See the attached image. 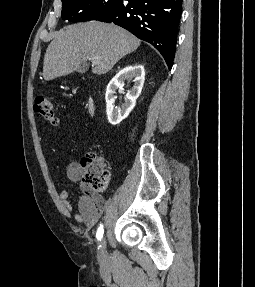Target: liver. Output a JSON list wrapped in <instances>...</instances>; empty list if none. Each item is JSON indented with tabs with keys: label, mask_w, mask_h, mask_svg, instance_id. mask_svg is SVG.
I'll return each instance as SVG.
<instances>
[{
	"label": "liver",
	"mask_w": 255,
	"mask_h": 287,
	"mask_svg": "<svg viewBox=\"0 0 255 287\" xmlns=\"http://www.w3.org/2000/svg\"><path fill=\"white\" fill-rule=\"evenodd\" d=\"M141 40L115 24L86 22L59 30L44 56L43 78L55 80L78 70L80 64L98 58L93 74H107L127 54L135 52Z\"/></svg>",
	"instance_id": "liver-1"
}]
</instances>
